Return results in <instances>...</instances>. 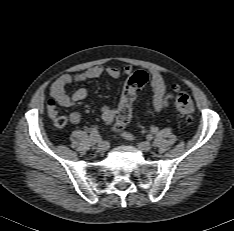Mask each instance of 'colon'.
Listing matches in <instances>:
<instances>
[{"label":"colon","mask_w":234,"mask_h":231,"mask_svg":"<svg viewBox=\"0 0 234 231\" xmlns=\"http://www.w3.org/2000/svg\"><path fill=\"white\" fill-rule=\"evenodd\" d=\"M147 82L148 75L143 71H137L127 78L120 98L116 129L121 130L130 123L133 105L138 93ZM173 100L177 111L187 119H190L194 113V104L191 97L186 92L176 91L173 94ZM54 122L56 126L62 127L65 125L66 119L64 117H56Z\"/></svg>","instance_id":"1"}]
</instances>
